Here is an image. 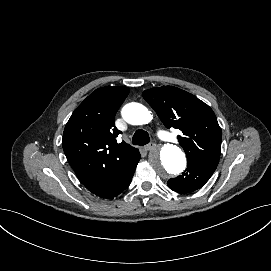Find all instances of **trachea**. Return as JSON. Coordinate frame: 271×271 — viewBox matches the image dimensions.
Returning a JSON list of instances; mask_svg holds the SVG:
<instances>
[{
    "instance_id": "trachea-1",
    "label": "trachea",
    "mask_w": 271,
    "mask_h": 271,
    "mask_svg": "<svg viewBox=\"0 0 271 271\" xmlns=\"http://www.w3.org/2000/svg\"><path fill=\"white\" fill-rule=\"evenodd\" d=\"M150 142V137L149 134L142 129L137 130L132 138V143L134 145H139V146H143L146 145Z\"/></svg>"
}]
</instances>
